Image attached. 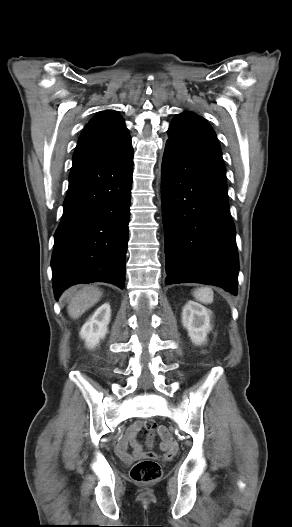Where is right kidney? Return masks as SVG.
I'll list each match as a JSON object with an SVG mask.
<instances>
[{"label":"right kidney","mask_w":292,"mask_h":527,"mask_svg":"<svg viewBox=\"0 0 292 527\" xmlns=\"http://www.w3.org/2000/svg\"><path fill=\"white\" fill-rule=\"evenodd\" d=\"M111 309L108 303L100 306L92 317L83 325L80 336L85 340L88 348H94L107 333L110 322Z\"/></svg>","instance_id":"1"}]
</instances>
